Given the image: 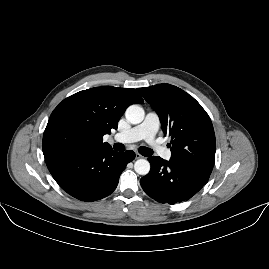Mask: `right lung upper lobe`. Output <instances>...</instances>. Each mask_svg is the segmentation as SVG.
Masks as SVG:
<instances>
[{"instance_id":"1","label":"right lung upper lobe","mask_w":269,"mask_h":269,"mask_svg":"<svg viewBox=\"0 0 269 269\" xmlns=\"http://www.w3.org/2000/svg\"><path fill=\"white\" fill-rule=\"evenodd\" d=\"M143 103L135 89L112 86L80 91L52 112L43 136V154H68L89 147L110 148L103 136L117 129L127 107Z\"/></svg>"}]
</instances>
